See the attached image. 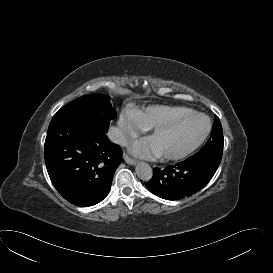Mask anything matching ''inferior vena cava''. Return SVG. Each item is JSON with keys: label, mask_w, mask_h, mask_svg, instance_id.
I'll use <instances>...</instances> for the list:
<instances>
[{"label": "inferior vena cava", "mask_w": 273, "mask_h": 273, "mask_svg": "<svg viewBox=\"0 0 273 273\" xmlns=\"http://www.w3.org/2000/svg\"><path fill=\"white\" fill-rule=\"evenodd\" d=\"M109 139L117 144L125 145L127 143V138L120 128L111 127L108 131Z\"/></svg>", "instance_id": "inferior-vena-cava-1"}]
</instances>
